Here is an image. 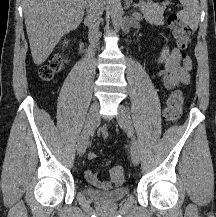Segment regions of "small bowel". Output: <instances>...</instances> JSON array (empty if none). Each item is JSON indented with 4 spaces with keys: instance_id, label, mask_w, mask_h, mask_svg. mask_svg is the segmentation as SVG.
<instances>
[{
    "instance_id": "1",
    "label": "small bowel",
    "mask_w": 216,
    "mask_h": 217,
    "mask_svg": "<svg viewBox=\"0 0 216 217\" xmlns=\"http://www.w3.org/2000/svg\"><path fill=\"white\" fill-rule=\"evenodd\" d=\"M157 63L160 69L157 73L164 88L172 89L176 84H188L192 68L191 59L183 54L178 48L165 45L158 56ZM96 155L88 153V159L94 160ZM85 179L95 187L106 189L114 184L112 180H102L97 169H87Z\"/></svg>"
}]
</instances>
